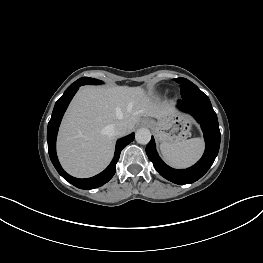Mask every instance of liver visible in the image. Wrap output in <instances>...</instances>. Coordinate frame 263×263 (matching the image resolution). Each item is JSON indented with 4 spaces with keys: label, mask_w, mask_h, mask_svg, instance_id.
Listing matches in <instances>:
<instances>
[{
    "label": "liver",
    "mask_w": 263,
    "mask_h": 263,
    "mask_svg": "<svg viewBox=\"0 0 263 263\" xmlns=\"http://www.w3.org/2000/svg\"><path fill=\"white\" fill-rule=\"evenodd\" d=\"M175 113L174 103L152 101L141 87H83L72 100L62 121L57 152L72 176L87 178L107 167L114 139L106 127L118 121L130 133L142 116L158 120Z\"/></svg>",
    "instance_id": "1"
}]
</instances>
